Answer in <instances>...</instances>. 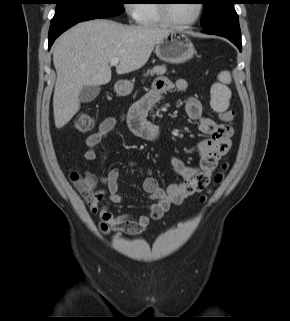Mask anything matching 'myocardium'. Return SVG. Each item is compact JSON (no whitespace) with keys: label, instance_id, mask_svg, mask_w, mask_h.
Returning a JSON list of instances; mask_svg holds the SVG:
<instances>
[{"label":"myocardium","instance_id":"f54148a6","mask_svg":"<svg viewBox=\"0 0 290 321\" xmlns=\"http://www.w3.org/2000/svg\"><path fill=\"white\" fill-rule=\"evenodd\" d=\"M157 8L159 11L160 16L162 17L164 23L169 26L176 27V28H186L194 25L200 19L204 5L201 1H197V11L193 19L186 21V22H178L171 18L169 14V2L171 0H157Z\"/></svg>","mask_w":290,"mask_h":321}]
</instances>
